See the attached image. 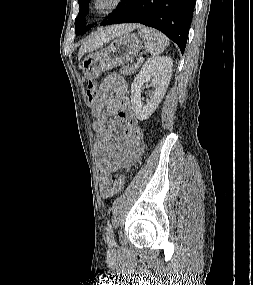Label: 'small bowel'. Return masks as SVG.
<instances>
[{
    "instance_id": "obj_1",
    "label": "small bowel",
    "mask_w": 253,
    "mask_h": 285,
    "mask_svg": "<svg viewBox=\"0 0 253 285\" xmlns=\"http://www.w3.org/2000/svg\"><path fill=\"white\" fill-rule=\"evenodd\" d=\"M91 109L99 154V189L107 199L116 193L113 175L140 159L144 150L143 132L131 111L127 83L118 74L105 78Z\"/></svg>"
}]
</instances>
